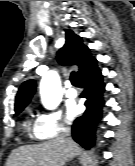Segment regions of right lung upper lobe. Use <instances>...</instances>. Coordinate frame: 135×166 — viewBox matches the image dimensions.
<instances>
[{
	"mask_svg": "<svg viewBox=\"0 0 135 166\" xmlns=\"http://www.w3.org/2000/svg\"><path fill=\"white\" fill-rule=\"evenodd\" d=\"M65 45L57 53V60L62 65H77L79 74L86 67L96 61L91 56L90 49L82 43V38L73 33V31L65 30ZM36 90V82L27 80L23 82L18 90L15 99V109L27 106Z\"/></svg>",
	"mask_w": 135,
	"mask_h": 166,
	"instance_id": "cb5924a9",
	"label": "right lung upper lobe"
}]
</instances>
